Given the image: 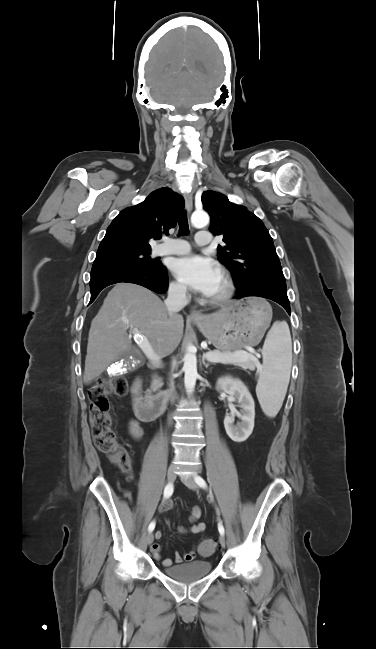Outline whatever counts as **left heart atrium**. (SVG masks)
<instances>
[{
	"label": "left heart atrium",
	"mask_w": 376,
	"mask_h": 649,
	"mask_svg": "<svg viewBox=\"0 0 376 649\" xmlns=\"http://www.w3.org/2000/svg\"><path fill=\"white\" fill-rule=\"evenodd\" d=\"M172 272L181 283L205 295L211 294L221 276L214 260L197 255L176 259Z\"/></svg>",
	"instance_id": "left-heart-atrium-1"
}]
</instances>
